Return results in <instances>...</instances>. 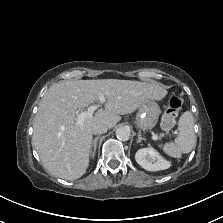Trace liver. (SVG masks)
<instances>
[{"label":"liver","instance_id":"6515ba94","mask_svg":"<svg viewBox=\"0 0 223 223\" xmlns=\"http://www.w3.org/2000/svg\"><path fill=\"white\" fill-rule=\"evenodd\" d=\"M167 90L155 83L99 79L61 81L51 86L39 104L34 119L32 146L44 168L54 177L76 180L89 165L92 127L104 124L111 129L120 115L134 112L148 100H161ZM105 98V107L76 125L78 110Z\"/></svg>","mask_w":223,"mask_h":223}]
</instances>
